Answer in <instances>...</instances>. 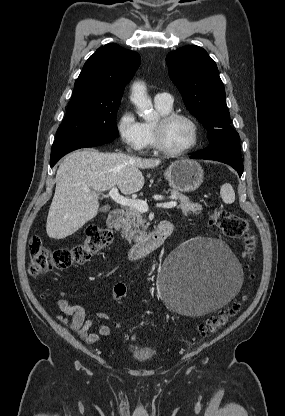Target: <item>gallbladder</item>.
I'll list each match as a JSON object with an SVG mask.
<instances>
[{
	"label": "gallbladder",
	"instance_id": "bac80fb5",
	"mask_svg": "<svg viewBox=\"0 0 285 416\" xmlns=\"http://www.w3.org/2000/svg\"><path fill=\"white\" fill-rule=\"evenodd\" d=\"M110 210V206H102V208H100V212H109Z\"/></svg>",
	"mask_w": 285,
	"mask_h": 416
}]
</instances>
